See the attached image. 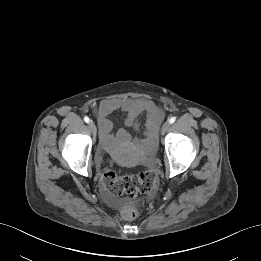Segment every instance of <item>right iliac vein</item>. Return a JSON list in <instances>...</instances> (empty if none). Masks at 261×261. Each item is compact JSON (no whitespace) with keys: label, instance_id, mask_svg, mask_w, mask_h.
<instances>
[{"label":"right iliac vein","instance_id":"1","mask_svg":"<svg viewBox=\"0 0 261 261\" xmlns=\"http://www.w3.org/2000/svg\"><path fill=\"white\" fill-rule=\"evenodd\" d=\"M88 126H89V129L92 132V134L95 135L96 132H97V128H96L95 123L91 121V122H89Z\"/></svg>","mask_w":261,"mask_h":261}]
</instances>
